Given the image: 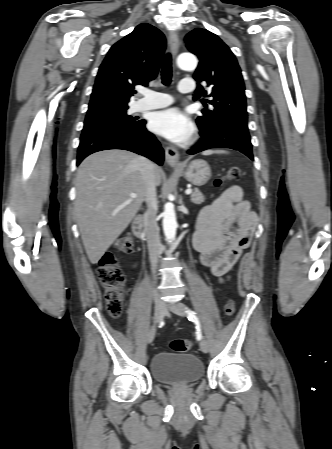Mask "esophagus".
Wrapping results in <instances>:
<instances>
[{
	"instance_id": "esophagus-1",
	"label": "esophagus",
	"mask_w": 332,
	"mask_h": 449,
	"mask_svg": "<svg viewBox=\"0 0 332 449\" xmlns=\"http://www.w3.org/2000/svg\"><path fill=\"white\" fill-rule=\"evenodd\" d=\"M168 44H169L170 52H171L173 58H175L177 56L178 49H179V38H178V35L176 32L171 31L169 33ZM165 159H166V162L172 167L180 166L179 152L171 146H167L165 148Z\"/></svg>"
}]
</instances>
